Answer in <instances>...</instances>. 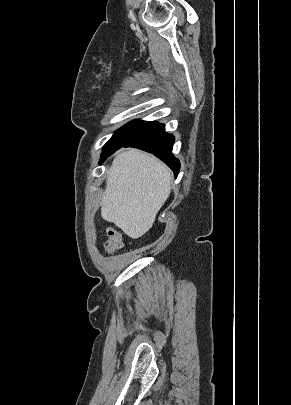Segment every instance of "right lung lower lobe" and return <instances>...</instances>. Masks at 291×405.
Here are the masks:
<instances>
[{
  "label": "right lung lower lobe",
  "instance_id": "obj_1",
  "mask_svg": "<svg viewBox=\"0 0 291 405\" xmlns=\"http://www.w3.org/2000/svg\"><path fill=\"white\" fill-rule=\"evenodd\" d=\"M174 141V136L165 132L164 124H157L122 147H134L154 154L164 161L177 176L180 163L172 154Z\"/></svg>",
  "mask_w": 291,
  "mask_h": 405
}]
</instances>
